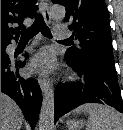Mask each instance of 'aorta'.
Masks as SVG:
<instances>
[{
    "label": "aorta",
    "mask_w": 123,
    "mask_h": 130,
    "mask_svg": "<svg viewBox=\"0 0 123 130\" xmlns=\"http://www.w3.org/2000/svg\"><path fill=\"white\" fill-rule=\"evenodd\" d=\"M65 8L62 5H53L49 15L54 20H61L65 17ZM54 128V90L50 83H47L43 92V100L39 115V130H53Z\"/></svg>",
    "instance_id": "aorta-1"
}]
</instances>
